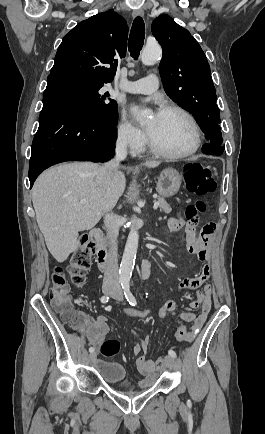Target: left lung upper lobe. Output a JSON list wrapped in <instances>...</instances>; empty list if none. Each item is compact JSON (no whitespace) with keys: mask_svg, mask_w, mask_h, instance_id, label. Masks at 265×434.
I'll return each mask as SVG.
<instances>
[{"mask_svg":"<svg viewBox=\"0 0 265 434\" xmlns=\"http://www.w3.org/2000/svg\"><path fill=\"white\" fill-rule=\"evenodd\" d=\"M152 33L163 49L159 72L166 94L194 115L210 145L224 148L216 90L202 48L168 15L153 21Z\"/></svg>","mask_w":265,"mask_h":434,"instance_id":"5c2ea615","label":"left lung upper lobe"}]
</instances>
